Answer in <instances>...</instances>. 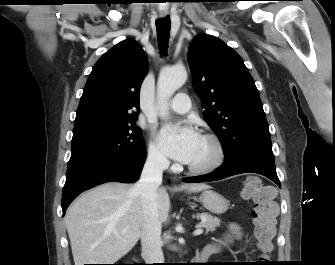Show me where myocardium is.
Segmentation results:
<instances>
[{"label": "myocardium", "instance_id": "myocardium-1", "mask_svg": "<svg viewBox=\"0 0 335 265\" xmlns=\"http://www.w3.org/2000/svg\"><path fill=\"white\" fill-rule=\"evenodd\" d=\"M201 137L209 140L215 147L214 159L204 166L188 165L187 169L194 175H207L216 171L223 163L226 157V150L222 140L213 133H204Z\"/></svg>", "mask_w": 335, "mask_h": 265}]
</instances>
